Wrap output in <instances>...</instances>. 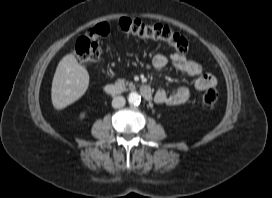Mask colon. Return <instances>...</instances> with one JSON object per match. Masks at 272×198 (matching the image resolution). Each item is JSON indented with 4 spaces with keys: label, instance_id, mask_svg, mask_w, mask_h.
<instances>
[{
    "label": "colon",
    "instance_id": "5ec220e1",
    "mask_svg": "<svg viewBox=\"0 0 272 198\" xmlns=\"http://www.w3.org/2000/svg\"><path fill=\"white\" fill-rule=\"evenodd\" d=\"M112 29L139 38L164 41L179 53H186L189 49L188 41L183 35L164 25L147 24L138 18L123 17L115 25L102 22L87 30L74 45L75 56L84 62H98L102 53L100 42ZM217 99L218 94L214 88L206 89L202 96V102L207 108H212Z\"/></svg>",
    "mask_w": 272,
    "mask_h": 198
}]
</instances>
